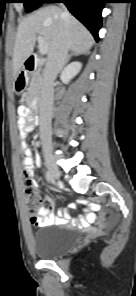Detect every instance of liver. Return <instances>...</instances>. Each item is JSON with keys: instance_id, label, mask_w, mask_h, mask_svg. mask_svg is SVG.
Segmentation results:
<instances>
[{"instance_id": "6515ba94", "label": "liver", "mask_w": 136, "mask_h": 296, "mask_svg": "<svg viewBox=\"0 0 136 296\" xmlns=\"http://www.w3.org/2000/svg\"><path fill=\"white\" fill-rule=\"evenodd\" d=\"M63 10L55 5L46 6L26 17L19 25L13 50V76L16 79L24 62L32 55L37 35L48 43V56L57 44L60 29L64 22L69 28V49L74 53L88 51L94 39L90 32L72 15L64 20Z\"/></svg>"}]
</instances>
